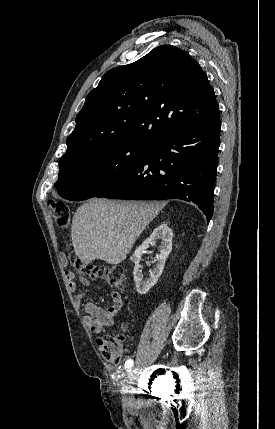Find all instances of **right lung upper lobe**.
<instances>
[{"label":"right lung upper lobe","mask_w":275,"mask_h":429,"mask_svg":"<svg viewBox=\"0 0 275 429\" xmlns=\"http://www.w3.org/2000/svg\"><path fill=\"white\" fill-rule=\"evenodd\" d=\"M218 115L214 90L200 65L186 51L162 45L105 73L76 117L60 165L112 145H149Z\"/></svg>","instance_id":"right-lung-upper-lobe-1"}]
</instances>
